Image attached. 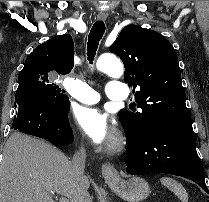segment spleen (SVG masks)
Segmentation results:
<instances>
[{"label":"spleen","mask_w":209,"mask_h":202,"mask_svg":"<svg viewBox=\"0 0 209 202\" xmlns=\"http://www.w3.org/2000/svg\"><path fill=\"white\" fill-rule=\"evenodd\" d=\"M160 182L172 191L182 202H188V193L181 183L171 177H162Z\"/></svg>","instance_id":"obj_1"}]
</instances>
